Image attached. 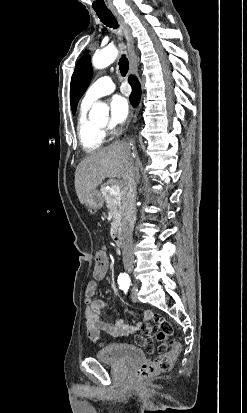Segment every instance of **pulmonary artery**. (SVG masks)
Returning <instances> with one entry per match:
<instances>
[{"instance_id":"1","label":"pulmonary artery","mask_w":247,"mask_h":413,"mask_svg":"<svg viewBox=\"0 0 247 413\" xmlns=\"http://www.w3.org/2000/svg\"><path fill=\"white\" fill-rule=\"evenodd\" d=\"M115 84L110 76H101L90 84L83 97V103L90 105L102 96L111 93Z\"/></svg>"}]
</instances>
